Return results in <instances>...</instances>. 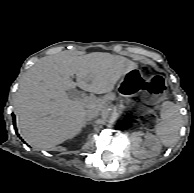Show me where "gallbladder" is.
<instances>
[{
  "label": "gallbladder",
  "mask_w": 194,
  "mask_h": 193,
  "mask_svg": "<svg viewBox=\"0 0 194 193\" xmlns=\"http://www.w3.org/2000/svg\"><path fill=\"white\" fill-rule=\"evenodd\" d=\"M73 89L72 90H68V95H70L71 96V94L73 93Z\"/></svg>",
  "instance_id": "1"
}]
</instances>
